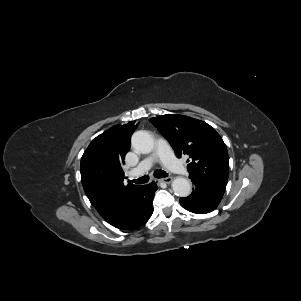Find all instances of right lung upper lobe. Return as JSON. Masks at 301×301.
Wrapping results in <instances>:
<instances>
[{
	"label": "right lung upper lobe",
	"mask_w": 301,
	"mask_h": 301,
	"mask_svg": "<svg viewBox=\"0 0 301 301\" xmlns=\"http://www.w3.org/2000/svg\"><path fill=\"white\" fill-rule=\"evenodd\" d=\"M135 121L116 125L94 138L81 158L80 172L84 191L106 222L112 224L123 212L139 187L123 184L122 163L129 150Z\"/></svg>",
	"instance_id": "obj_1"
}]
</instances>
